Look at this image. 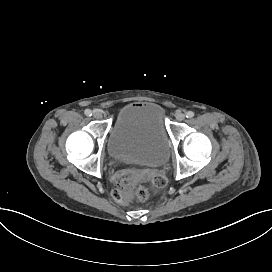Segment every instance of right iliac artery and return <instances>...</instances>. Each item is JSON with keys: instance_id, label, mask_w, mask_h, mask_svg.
<instances>
[{"instance_id": "82829eb1", "label": "right iliac artery", "mask_w": 272, "mask_h": 272, "mask_svg": "<svg viewBox=\"0 0 272 272\" xmlns=\"http://www.w3.org/2000/svg\"><path fill=\"white\" fill-rule=\"evenodd\" d=\"M84 113L86 116H92V111L90 109H86Z\"/></svg>"}]
</instances>
